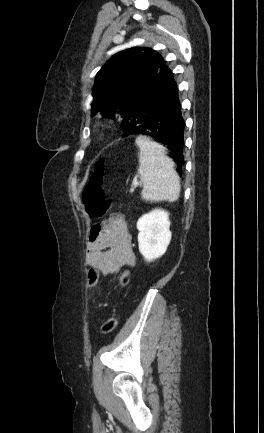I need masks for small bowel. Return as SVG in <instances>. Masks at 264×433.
I'll use <instances>...</instances> for the list:
<instances>
[{"label": "small bowel", "mask_w": 264, "mask_h": 433, "mask_svg": "<svg viewBox=\"0 0 264 433\" xmlns=\"http://www.w3.org/2000/svg\"><path fill=\"white\" fill-rule=\"evenodd\" d=\"M85 259L87 265L105 275L118 271L122 266L135 264L132 237L121 214L114 213L92 226Z\"/></svg>", "instance_id": "small-bowel-1"}]
</instances>
